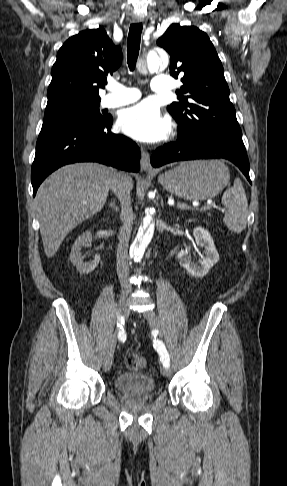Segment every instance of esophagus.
Instances as JSON below:
<instances>
[{
  "label": "esophagus",
  "mask_w": 287,
  "mask_h": 486,
  "mask_svg": "<svg viewBox=\"0 0 287 486\" xmlns=\"http://www.w3.org/2000/svg\"><path fill=\"white\" fill-rule=\"evenodd\" d=\"M142 21H143V19L141 17H134L133 18L134 23H141ZM140 164H141V169L143 171H146V172L153 171V168H152L151 163H150V155H149L148 151L143 147H141Z\"/></svg>",
  "instance_id": "1"
}]
</instances>
